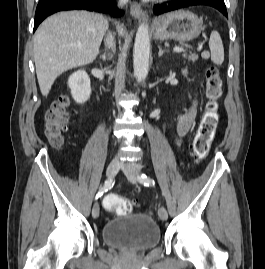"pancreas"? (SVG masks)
<instances>
[{"mask_svg":"<svg viewBox=\"0 0 265 269\" xmlns=\"http://www.w3.org/2000/svg\"><path fill=\"white\" fill-rule=\"evenodd\" d=\"M183 57L184 58H187L188 60L192 61V62H196L198 60V55L196 54H193V53H184L183 54Z\"/></svg>","mask_w":265,"mask_h":269,"instance_id":"pancreas-1","label":"pancreas"}]
</instances>
